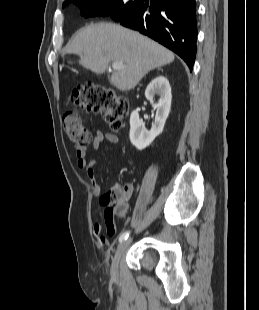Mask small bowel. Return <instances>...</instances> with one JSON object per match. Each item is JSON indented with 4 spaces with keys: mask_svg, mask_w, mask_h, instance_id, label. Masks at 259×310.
Wrapping results in <instances>:
<instances>
[{
    "mask_svg": "<svg viewBox=\"0 0 259 310\" xmlns=\"http://www.w3.org/2000/svg\"><path fill=\"white\" fill-rule=\"evenodd\" d=\"M105 141H108L110 143H117L118 138L117 136L113 134H108L104 133L103 131H97L93 138H92V146L95 149H98ZM75 154H76V162L77 166L80 169L85 170L86 176L90 180L91 187H92V192L94 196H98L101 193V186L97 182L96 179V172L94 170L96 161L94 159H88L87 158V148L84 146H76L75 147ZM125 190L127 193L128 199L131 197L132 192H133V187L132 185L128 184L125 186ZM112 211H104V220H105V225L107 229V234L108 236H114L116 234V226H115V221H114V216H113ZM128 221H125V224ZM93 232L96 235H100L102 233V224L101 223H94L93 224ZM99 241L102 245H108L109 241L107 237L100 236Z\"/></svg>",
    "mask_w": 259,
    "mask_h": 310,
    "instance_id": "1",
    "label": "small bowel"
}]
</instances>
